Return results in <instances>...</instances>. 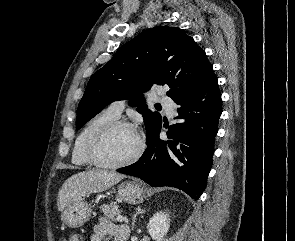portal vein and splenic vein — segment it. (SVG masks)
<instances>
[{
    "mask_svg": "<svg viewBox=\"0 0 295 241\" xmlns=\"http://www.w3.org/2000/svg\"><path fill=\"white\" fill-rule=\"evenodd\" d=\"M117 220H118L119 222H123V221H125V218H124L123 216L119 215V216L117 217Z\"/></svg>",
    "mask_w": 295,
    "mask_h": 241,
    "instance_id": "18ae733b",
    "label": "portal vein and splenic vein"
}]
</instances>
